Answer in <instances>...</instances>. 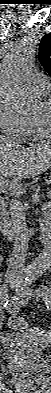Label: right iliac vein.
<instances>
[{
    "label": "right iliac vein",
    "instance_id": "right-iliac-vein-1",
    "mask_svg": "<svg viewBox=\"0 0 51 393\" xmlns=\"http://www.w3.org/2000/svg\"><path fill=\"white\" fill-rule=\"evenodd\" d=\"M7 283H14L15 282V275L13 273H8L5 278ZM7 285V284H6Z\"/></svg>",
    "mask_w": 51,
    "mask_h": 393
}]
</instances>
